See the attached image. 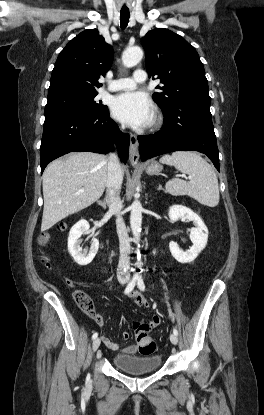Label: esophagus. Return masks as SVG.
Listing matches in <instances>:
<instances>
[{
  "instance_id": "1",
  "label": "esophagus",
  "mask_w": 264,
  "mask_h": 415,
  "mask_svg": "<svg viewBox=\"0 0 264 415\" xmlns=\"http://www.w3.org/2000/svg\"><path fill=\"white\" fill-rule=\"evenodd\" d=\"M129 160L131 164H137L139 161L138 140L134 134L130 135Z\"/></svg>"
}]
</instances>
